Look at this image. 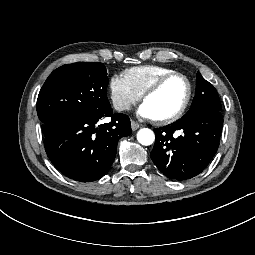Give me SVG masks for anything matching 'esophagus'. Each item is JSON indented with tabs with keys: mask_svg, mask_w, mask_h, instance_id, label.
I'll return each mask as SVG.
<instances>
[{
	"mask_svg": "<svg viewBox=\"0 0 255 255\" xmlns=\"http://www.w3.org/2000/svg\"><path fill=\"white\" fill-rule=\"evenodd\" d=\"M131 128L133 131L137 130L139 128V124L135 122L134 120L131 121Z\"/></svg>",
	"mask_w": 255,
	"mask_h": 255,
	"instance_id": "1",
	"label": "esophagus"
}]
</instances>
